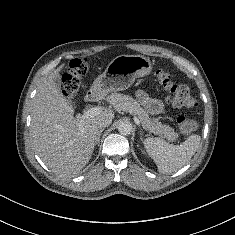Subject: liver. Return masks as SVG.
Returning a JSON list of instances; mask_svg holds the SVG:
<instances>
[{"mask_svg":"<svg viewBox=\"0 0 235 235\" xmlns=\"http://www.w3.org/2000/svg\"><path fill=\"white\" fill-rule=\"evenodd\" d=\"M61 68L38 86L32 103L31 136L44 164L56 174L71 176L78 174L91 158L98 121L102 118L112 120L114 112L105 109L95 117H74L71 102L56 83Z\"/></svg>","mask_w":235,"mask_h":235,"instance_id":"1","label":"liver"}]
</instances>
